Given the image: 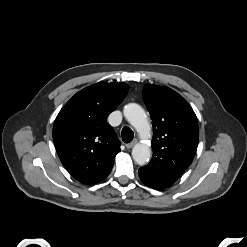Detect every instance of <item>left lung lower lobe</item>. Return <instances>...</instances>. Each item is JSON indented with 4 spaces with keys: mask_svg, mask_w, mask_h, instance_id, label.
Returning <instances> with one entry per match:
<instances>
[{
    "mask_svg": "<svg viewBox=\"0 0 247 247\" xmlns=\"http://www.w3.org/2000/svg\"><path fill=\"white\" fill-rule=\"evenodd\" d=\"M139 177L144 184L148 185L149 187L153 189L162 190V189L168 188V186H166L162 182L158 181L155 178L148 176L147 174L143 173L140 170H139Z\"/></svg>",
    "mask_w": 247,
    "mask_h": 247,
    "instance_id": "left-lung-lower-lobe-1",
    "label": "left lung lower lobe"
}]
</instances>
